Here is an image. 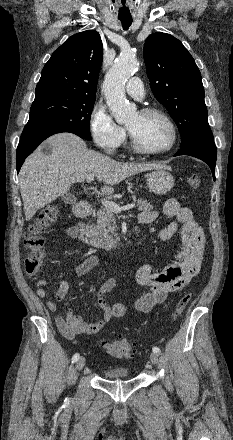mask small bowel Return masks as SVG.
Returning a JSON list of instances; mask_svg holds the SVG:
<instances>
[{
    "label": "small bowel",
    "instance_id": "1",
    "mask_svg": "<svg viewBox=\"0 0 233 440\" xmlns=\"http://www.w3.org/2000/svg\"><path fill=\"white\" fill-rule=\"evenodd\" d=\"M163 212L172 219V222L160 231V240L170 239L177 231L178 225L181 224L182 248L175 255L174 260L159 271L149 263L138 268L135 278L139 284L147 287V291L133 304V308L140 313L149 312L154 306L163 303L170 293L179 292L189 285L199 273L204 256L206 237L194 211L188 206H181L175 198H170L164 204ZM157 218V211H144L139 215V221L142 224L153 223ZM68 235L73 239L77 237L73 228L68 230ZM98 263L99 259L96 255L88 256L75 267V275L82 277L88 274ZM116 283V278H110L98 287L97 304L103 311V317L96 323L83 322L72 310H68L66 315L62 316L58 312L56 302L48 300L46 306L55 314V322L61 334L68 339L94 335L113 318L123 317L127 312V307L118 302L109 304L104 298V295L110 292ZM46 284L45 279L37 281L38 297L47 296ZM68 290L69 284L66 281H60L55 294L56 301H62Z\"/></svg>",
    "mask_w": 233,
    "mask_h": 440
}]
</instances>
